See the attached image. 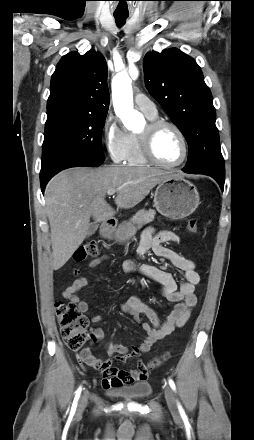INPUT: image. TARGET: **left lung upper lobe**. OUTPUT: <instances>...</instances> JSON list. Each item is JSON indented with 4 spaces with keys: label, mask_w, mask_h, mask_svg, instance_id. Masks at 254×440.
I'll list each match as a JSON object with an SVG mask.
<instances>
[{
    "label": "left lung upper lobe",
    "mask_w": 254,
    "mask_h": 440,
    "mask_svg": "<svg viewBox=\"0 0 254 440\" xmlns=\"http://www.w3.org/2000/svg\"><path fill=\"white\" fill-rule=\"evenodd\" d=\"M143 62L148 91L187 140L189 154L183 170L225 175L212 95L196 61L172 48L150 52Z\"/></svg>",
    "instance_id": "obj_1"
}]
</instances>
